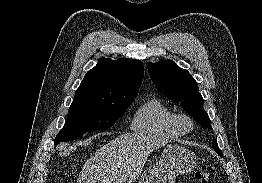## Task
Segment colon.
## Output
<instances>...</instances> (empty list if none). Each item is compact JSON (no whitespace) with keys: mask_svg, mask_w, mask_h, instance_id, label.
I'll return each instance as SVG.
<instances>
[{"mask_svg":"<svg viewBox=\"0 0 262 183\" xmlns=\"http://www.w3.org/2000/svg\"><path fill=\"white\" fill-rule=\"evenodd\" d=\"M211 177V173L209 170H198L195 172V178L198 183H208ZM67 183V182H63Z\"/></svg>","mask_w":262,"mask_h":183,"instance_id":"5ec220e1","label":"colon"}]
</instances>
